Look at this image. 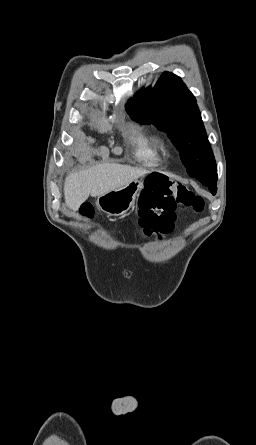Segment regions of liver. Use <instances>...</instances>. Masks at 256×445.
<instances>
[{
    "label": "liver",
    "instance_id": "obj_1",
    "mask_svg": "<svg viewBox=\"0 0 256 445\" xmlns=\"http://www.w3.org/2000/svg\"><path fill=\"white\" fill-rule=\"evenodd\" d=\"M150 171L120 164H100L87 170L70 173L64 183L67 206L76 211L89 195L92 197L121 188Z\"/></svg>",
    "mask_w": 256,
    "mask_h": 445
}]
</instances>
